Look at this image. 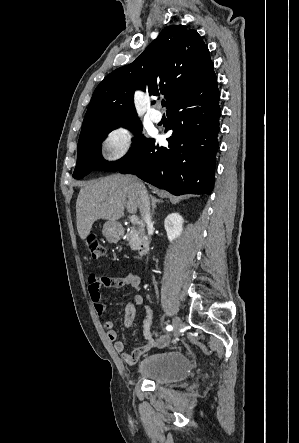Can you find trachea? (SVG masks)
<instances>
[{
  "label": "trachea",
  "instance_id": "1",
  "mask_svg": "<svg viewBox=\"0 0 299 443\" xmlns=\"http://www.w3.org/2000/svg\"><path fill=\"white\" fill-rule=\"evenodd\" d=\"M166 105L165 101H162V106L164 107Z\"/></svg>",
  "mask_w": 299,
  "mask_h": 443
}]
</instances>
